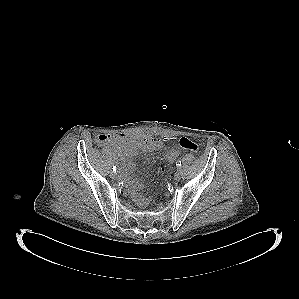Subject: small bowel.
<instances>
[{
	"label": "small bowel",
	"instance_id": "obj_1",
	"mask_svg": "<svg viewBox=\"0 0 299 299\" xmlns=\"http://www.w3.org/2000/svg\"><path fill=\"white\" fill-rule=\"evenodd\" d=\"M106 137V139H103ZM102 138V139H101ZM98 142L101 145L114 149L122 164V176L134 188H140L143 185V180L134 177L135 164L132 158L139 151H153L163 147L164 140L155 138L149 135H125V134H102L98 137ZM180 155L178 149H170L164 156L168 163H173ZM161 168L160 172H163Z\"/></svg>",
	"mask_w": 299,
	"mask_h": 299
}]
</instances>
